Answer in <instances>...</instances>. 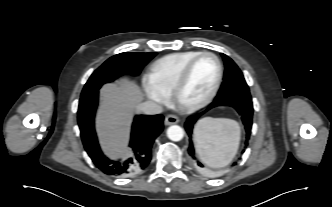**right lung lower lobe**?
<instances>
[{"label": "right lung lower lobe", "mask_w": 332, "mask_h": 207, "mask_svg": "<svg viewBox=\"0 0 332 207\" xmlns=\"http://www.w3.org/2000/svg\"><path fill=\"white\" fill-rule=\"evenodd\" d=\"M98 105V91L81 97L78 108V125L84 148L93 163L103 173L111 176H129L145 169L151 160V148L163 130L162 115L136 116L132 126L130 147L133 157L124 161H112L101 151L98 144L94 117Z\"/></svg>", "instance_id": "obj_1"}]
</instances>
